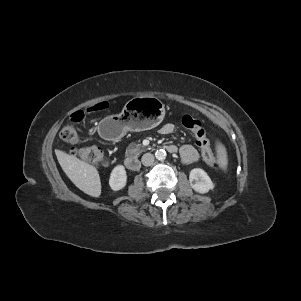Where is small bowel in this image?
Segmentation results:
<instances>
[{
    "mask_svg": "<svg viewBox=\"0 0 301 301\" xmlns=\"http://www.w3.org/2000/svg\"><path fill=\"white\" fill-rule=\"evenodd\" d=\"M175 126L171 123L163 125L159 129V133L162 135H169L174 133ZM179 155L183 163L192 164L200 159V154L196 148L191 145H184L179 149Z\"/></svg>",
    "mask_w": 301,
    "mask_h": 301,
    "instance_id": "1",
    "label": "small bowel"
}]
</instances>
